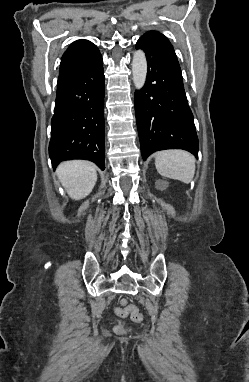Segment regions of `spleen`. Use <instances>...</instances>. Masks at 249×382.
<instances>
[{
    "label": "spleen",
    "instance_id": "1",
    "mask_svg": "<svg viewBox=\"0 0 249 382\" xmlns=\"http://www.w3.org/2000/svg\"><path fill=\"white\" fill-rule=\"evenodd\" d=\"M155 167L166 178L190 183L195 174V158L183 150H163L155 154Z\"/></svg>",
    "mask_w": 249,
    "mask_h": 382
}]
</instances>
